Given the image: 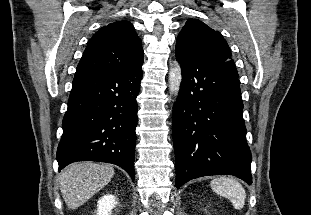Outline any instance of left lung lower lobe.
<instances>
[{
	"label": "left lung lower lobe",
	"instance_id": "0a47b994",
	"mask_svg": "<svg viewBox=\"0 0 311 215\" xmlns=\"http://www.w3.org/2000/svg\"><path fill=\"white\" fill-rule=\"evenodd\" d=\"M175 53L182 70L172 122L176 187L222 174L251 184L239 77L178 39Z\"/></svg>",
	"mask_w": 311,
	"mask_h": 215
}]
</instances>
